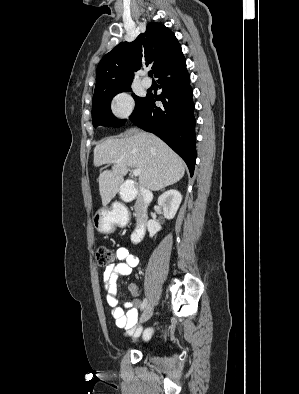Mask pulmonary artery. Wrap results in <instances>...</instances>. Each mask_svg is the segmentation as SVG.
I'll return each mask as SVG.
<instances>
[{
	"label": "pulmonary artery",
	"mask_w": 299,
	"mask_h": 394,
	"mask_svg": "<svg viewBox=\"0 0 299 394\" xmlns=\"http://www.w3.org/2000/svg\"><path fill=\"white\" fill-rule=\"evenodd\" d=\"M142 85H143L145 88H150L151 85H152V82H151L150 79L144 78V79L142 80Z\"/></svg>",
	"instance_id": "obj_1"
}]
</instances>
